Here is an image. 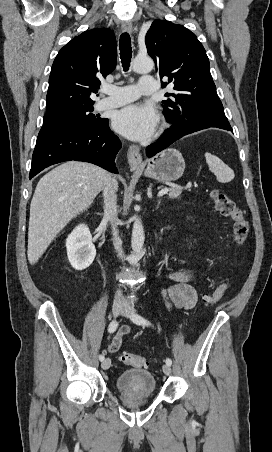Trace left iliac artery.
<instances>
[{
    "instance_id": "obj_1",
    "label": "left iliac artery",
    "mask_w": 272,
    "mask_h": 452,
    "mask_svg": "<svg viewBox=\"0 0 272 452\" xmlns=\"http://www.w3.org/2000/svg\"><path fill=\"white\" fill-rule=\"evenodd\" d=\"M132 321L134 323H136V324H139V325H150V322L147 319H145L144 317H142V316H140L138 314H133ZM166 364L171 366L172 365V360L170 358H167L166 359Z\"/></svg>"
}]
</instances>
